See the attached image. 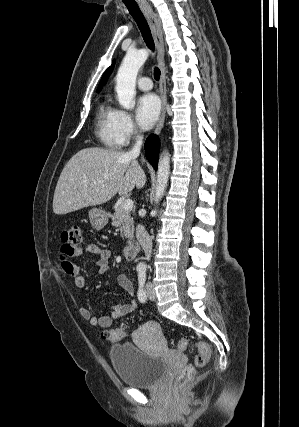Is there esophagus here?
I'll return each instance as SVG.
<instances>
[{"instance_id": "esophagus-1", "label": "esophagus", "mask_w": 299, "mask_h": 427, "mask_svg": "<svg viewBox=\"0 0 299 427\" xmlns=\"http://www.w3.org/2000/svg\"><path fill=\"white\" fill-rule=\"evenodd\" d=\"M140 8L143 11L144 15L146 16L150 24L154 41L156 44V48H157V59H158V63L161 71L159 92L161 96L162 107H161V114H160L158 123L154 130V134H159L164 125L165 116H166V103H167L166 71H165V63H164L165 50H164L163 33H162L159 18L157 14L153 12L152 8L146 3L140 4Z\"/></svg>"}]
</instances>
